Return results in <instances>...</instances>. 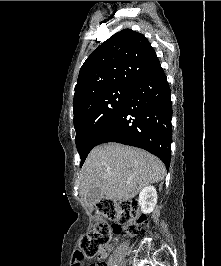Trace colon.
Listing matches in <instances>:
<instances>
[{
	"instance_id": "obj_1",
	"label": "colon",
	"mask_w": 221,
	"mask_h": 266,
	"mask_svg": "<svg viewBox=\"0 0 221 266\" xmlns=\"http://www.w3.org/2000/svg\"><path fill=\"white\" fill-rule=\"evenodd\" d=\"M95 214L99 221L82 237L79 250L85 253L84 257H80L82 259L99 258L91 266H106L100 255L113 235L139 236L145 234L148 229L147 218L139 212L138 202L135 200L102 199L96 204ZM106 220L112 223L109 224Z\"/></svg>"
}]
</instances>
